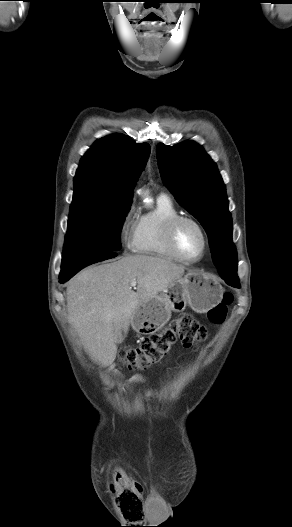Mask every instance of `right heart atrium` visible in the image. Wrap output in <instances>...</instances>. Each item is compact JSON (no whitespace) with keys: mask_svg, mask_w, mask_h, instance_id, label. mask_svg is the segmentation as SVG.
<instances>
[{"mask_svg":"<svg viewBox=\"0 0 292 527\" xmlns=\"http://www.w3.org/2000/svg\"><path fill=\"white\" fill-rule=\"evenodd\" d=\"M135 223V208L130 205L122 216L119 227L120 238L125 246L130 247L132 245Z\"/></svg>","mask_w":292,"mask_h":527,"instance_id":"1","label":"right heart atrium"}]
</instances>
